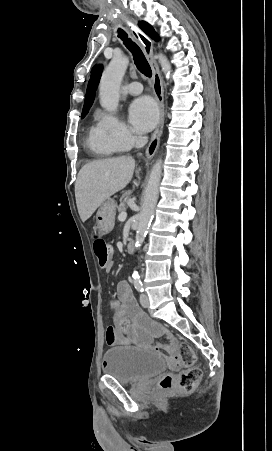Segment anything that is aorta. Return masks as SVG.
<instances>
[{
  "instance_id": "1",
  "label": "aorta",
  "mask_w": 272,
  "mask_h": 451,
  "mask_svg": "<svg viewBox=\"0 0 272 451\" xmlns=\"http://www.w3.org/2000/svg\"><path fill=\"white\" fill-rule=\"evenodd\" d=\"M156 58H158L162 72H164L166 78H170L171 64H169V60H167L166 56H163V54H158ZM128 64L129 58H127V56H120V58H116V56H114L102 74L99 84V98L102 108H105L107 112H115L118 108L119 88ZM161 174L162 160H157L151 170L144 194L141 212L138 214V227L136 229L135 237L136 249L141 247L144 241L145 233L152 220L158 200ZM132 277H134V279H139L137 271H134Z\"/></svg>"
}]
</instances>
